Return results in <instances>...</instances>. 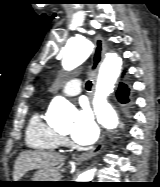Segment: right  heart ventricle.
<instances>
[{
  "label": "right heart ventricle",
  "instance_id": "1",
  "mask_svg": "<svg viewBox=\"0 0 160 187\" xmlns=\"http://www.w3.org/2000/svg\"><path fill=\"white\" fill-rule=\"evenodd\" d=\"M25 140L29 148L38 151L55 152L62 145L61 136L42 120L39 113L30 118Z\"/></svg>",
  "mask_w": 160,
  "mask_h": 187
}]
</instances>
